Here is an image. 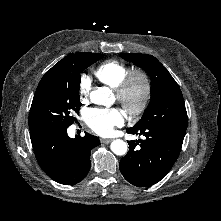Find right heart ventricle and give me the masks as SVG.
I'll return each mask as SVG.
<instances>
[{"mask_svg":"<svg viewBox=\"0 0 221 221\" xmlns=\"http://www.w3.org/2000/svg\"><path fill=\"white\" fill-rule=\"evenodd\" d=\"M130 71V67L126 64L117 60H109L100 64L94 70V75L100 82L117 89Z\"/></svg>","mask_w":221,"mask_h":221,"instance_id":"e07e8e85","label":"right heart ventricle"}]
</instances>
